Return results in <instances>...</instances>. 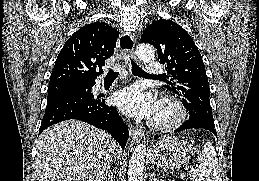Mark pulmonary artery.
<instances>
[{"label": "pulmonary artery", "mask_w": 259, "mask_h": 181, "mask_svg": "<svg viewBox=\"0 0 259 181\" xmlns=\"http://www.w3.org/2000/svg\"><path fill=\"white\" fill-rule=\"evenodd\" d=\"M163 72V66L157 63H149L146 73L149 75H158Z\"/></svg>", "instance_id": "obj_1"}]
</instances>
